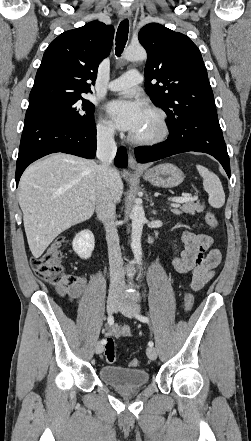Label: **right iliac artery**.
Segmentation results:
<instances>
[{"instance_id": "82829eb1", "label": "right iliac artery", "mask_w": 251, "mask_h": 441, "mask_svg": "<svg viewBox=\"0 0 251 441\" xmlns=\"http://www.w3.org/2000/svg\"><path fill=\"white\" fill-rule=\"evenodd\" d=\"M107 322H108V324H109L110 326H112V325L114 324V318H113L112 315H109V316H108V318H107ZM100 343L105 344V343H106V340H105V339H102Z\"/></svg>"}]
</instances>
